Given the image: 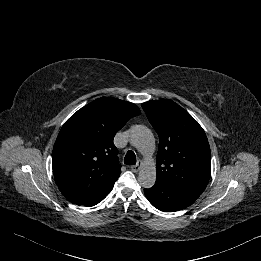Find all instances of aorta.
<instances>
[{
	"instance_id": "1",
	"label": "aorta",
	"mask_w": 261,
	"mask_h": 261,
	"mask_svg": "<svg viewBox=\"0 0 261 261\" xmlns=\"http://www.w3.org/2000/svg\"><path fill=\"white\" fill-rule=\"evenodd\" d=\"M131 144L145 157L152 154L155 148L153 133L143 125H136L130 132ZM138 181L144 188H151L156 181V167L154 162L145 161L139 171Z\"/></svg>"
}]
</instances>
